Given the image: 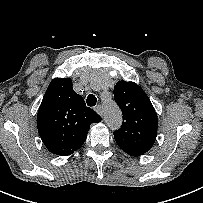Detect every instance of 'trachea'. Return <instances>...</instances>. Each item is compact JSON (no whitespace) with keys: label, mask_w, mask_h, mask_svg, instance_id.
Instances as JSON below:
<instances>
[{"label":"trachea","mask_w":203,"mask_h":203,"mask_svg":"<svg viewBox=\"0 0 203 203\" xmlns=\"http://www.w3.org/2000/svg\"><path fill=\"white\" fill-rule=\"evenodd\" d=\"M87 105L90 106V107H93L96 105V102H97V98L95 95L93 94H89L88 97H87Z\"/></svg>","instance_id":"trachea-1"}]
</instances>
